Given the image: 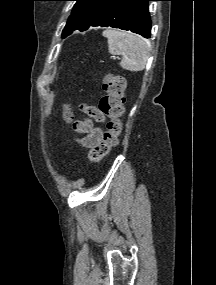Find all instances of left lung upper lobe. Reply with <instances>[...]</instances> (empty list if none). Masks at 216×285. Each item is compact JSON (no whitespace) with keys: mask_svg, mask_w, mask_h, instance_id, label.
Instances as JSON below:
<instances>
[{"mask_svg":"<svg viewBox=\"0 0 216 285\" xmlns=\"http://www.w3.org/2000/svg\"><path fill=\"white\" fill-rule=\"evenodd\" d=\"M76 4L62 32V38L72 34L74 30H83L115 0H74Z\"/></svg>","mask_w":216,"mask_h":285,"instance_id":"left-lung-upper-lobe-1","label":"left lung upper lobe"}]
</instances>
